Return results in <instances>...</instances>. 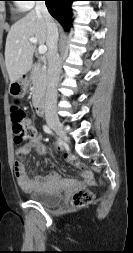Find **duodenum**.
Listing matches in <instances>:
<instances>
[{
  "label": "duodenum",
  "mask_w": 133,
  "mask_h": 253,
  "mask_svg": "<svg viewBox=\"0 0 133 253\" xmlns=\"http://www.w3.org/2000/svg\"><path fill=\"white\" fill-rule=\"evenodd\" d=\"M20 76H21V78H23V80H26L29 75H28V73H21ZM36 92L37 93H42L43 89L42 88H37ZM38 97H41V94H38ZM35 108H36V112L39 116L44 115L45 109H46L45 101L43 99H37L36 102H35Z\"/></svg>",
  "instance_id": "obj_1"
}]
</instances>
